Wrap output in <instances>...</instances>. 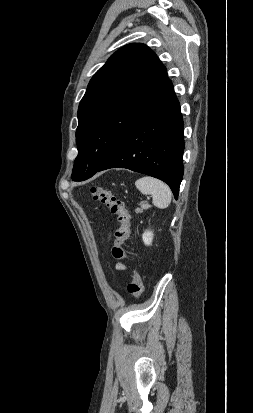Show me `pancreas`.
<instances>
[{
  "label": "pancreas",
  "instance_id": "pancreas-1",
  "mask_svg": "<svg viewBox=\"0 0 253 413\" xmlns=\"http://www.w3.org/2000/svg\"><path fill=\"white\" fill-rule=\"evenodd\" d=\"M139 205L141 206V208H138L136 210L137 213L143 212V210L148 208V206H149L146 202H141Z\"/></svg>",
  "mask_w": 253,
  "mask_h": 413
}]
</instances>
